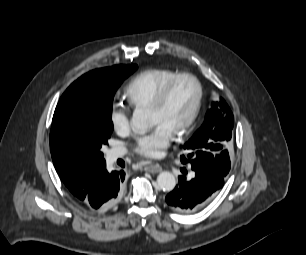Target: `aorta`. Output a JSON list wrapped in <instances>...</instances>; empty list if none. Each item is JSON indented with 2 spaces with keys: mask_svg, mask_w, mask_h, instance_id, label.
<instances>
[{
  "mask_svg": "<svg viewBox=\"0 0 306 255\" xmlns=\"http://www.w3.org/2000/svg\"><path fill=\"white\" fill-rule=\"evenodd\" d=\"M131 126L136 132H146L150 126L148 114L141 109H135L131 119ZM157 185L163 191H172L176 186L175 176L170 172L163 171L157 177Z\"/></svg>",
  "mask_w": 306,
  "mask_h": 255,
  "instance_id": "aorta-1",
  "label": "aorta"
}]
</instances>
